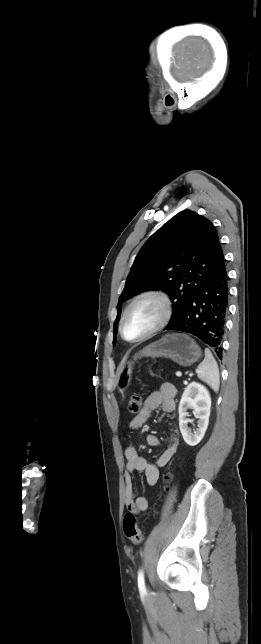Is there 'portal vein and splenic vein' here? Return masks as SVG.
<instances>
[{
  "instance_id": "18ae733b",
  "label": "portal vein and splenic vein",
  "mask_w": 261,
  "mask_h": 644,
  "mask_svg": "<svg viewBox=\"0 0 261 644\" xmlns=\"http://www.w3.org/2000/svg\"><path fill=\"white\" fill-rule=\"evenodd\" d=\"M176 376H177V377H181V376H182V373H181L180 371H177V372H176Z\"/></svg>"
}]
</instances>
